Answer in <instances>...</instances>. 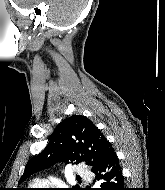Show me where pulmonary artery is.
I'll list each match as a JSON object with an SVG mask.
<instances>
[{
    "label": "pulmonary artery",
    "mask_w": 165,
    "mask_h": 190,
    "mask_svg": "<svg viewBox=\"0 0 165 190\" xmlns=\"http://www.w3.org/2000/svg\"><path fill=\"white\" fill-rule=\"evenodd\" d=\"M75 173L77 175H79L80 177H83V178H87L89 179L90 178V173L88 170H86L85 168H83L82 166H77L76 170H75Z\"/></svg>",
    "instance_id": "pulmonary-artery-1"
}]
</instances>
